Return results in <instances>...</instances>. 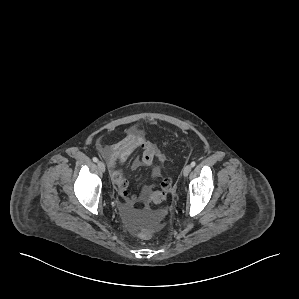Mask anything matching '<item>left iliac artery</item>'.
Here are the masks:
<instances>
[{"mask_svg": "<svg viewBox=\"0 0 299 299\" xmlns=\"http://www.w3.org/2000/svg\"><path fill=\"white\" fill-rule=\"evenodd\" d=\"M195 165H196L195 161L191 162V167H194Z\"/></svg>", "mask_w": 299, "mask_h": 299, "instance_id": "obj_1", "label": "left iliac artery"}]
</instances>
